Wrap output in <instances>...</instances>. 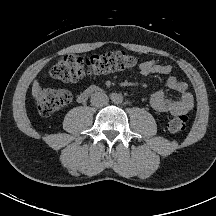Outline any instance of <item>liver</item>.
I'll use <instances>...</instances> for the list:
<instances>
[{"instance_id": "6515ba94", "label": "liver", "mask_w": 216, "mask_h": 216, "mask_svg": "<svg viewBox=\"0 0 216 216\" xmlns=\"http://www.w3.org/2000/svg\"><path fill=\"white\" fill-rule=\"evenodd\" d=\"M40 86L37 80L34 81L32 86V95L35 99L39 98Z\"/></svg>"}]
</instances>
